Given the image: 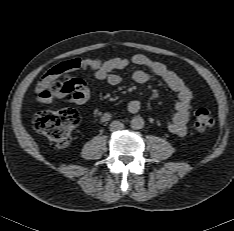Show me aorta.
Segmentation results:
<instances>
[{"mask_svg":"<svg viewBox=\"0 0 234 231\" xmlns=\"http://www.w3.org/2000/svg\"><path fill=\"white\" fill-rule=\"evenodd\" d=\"M131 127L135 130L142 129L144 127V119L141 116H135L131 120Z\"/></svg>","mask_w":234,"mask_h":231,"instance_id":"obj_1","label":"aorta"}]
</instances>
